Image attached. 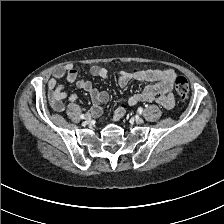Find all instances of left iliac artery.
<instances>
[{
    "label": "left iliac artery",
    "instance_id": "1",
    "mask_svg": "<svg viewBox=\"0 0 224 224\" xmlns=\"http://www.w3.org/2000/svg\"><path fill=\"white\" fill-rule=\"evenodd\" d=\"M138 112H139V114H142L143 113V109L141 107L138 108Z\"/></svg>",
    "mask_w": 224,
    "mask_h": 224
}]
</instances>
